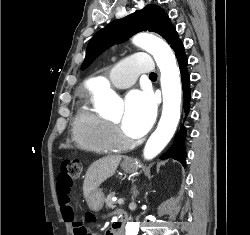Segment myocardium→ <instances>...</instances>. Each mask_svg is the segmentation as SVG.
<instances>
[{
  "instance_id": "myocardium-1",
  "label": "myocardium",
  "mask_w": 250,
  "mask_h": 235,
  "mask_svg": "<svg viewBox=\"0 0 250 235\" xmlns=\"http://www.w3.org/2000/svg\"><path fill=\"white\" fill-rule=\"evenodd\" d=\"M113 123H114V122H113ZM114 124L116 125L118 131H119L120 133H122V130H121L120 126H119L117 123H114Z\"/></svg>"
}]
</instances>
